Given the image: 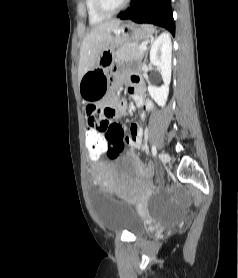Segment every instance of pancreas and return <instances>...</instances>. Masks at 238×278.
<instances>
[{"instance_id": "1", "label": "pancreas", "mask_w": 238, "mask_h": 278, "mask_svg": "<svg viewBox=\"0 0 238 278\" xmlns=\"http://www.w3.org/2000/svg\"><path fill=\"white\" fill-rule=\"evenodd\" d=\"M139 43L125 44L120 47L115 54L116 62L139 60L144 52L139 49Z\"/></svg>"}]
</instances>
